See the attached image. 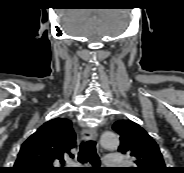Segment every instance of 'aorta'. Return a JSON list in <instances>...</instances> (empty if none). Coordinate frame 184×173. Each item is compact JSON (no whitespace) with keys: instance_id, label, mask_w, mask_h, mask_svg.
<instances>
[{"instance_id":"obj_1","label":"aorta","mask_w":184,"mask_h":173,"mask_svg":"<svg viewBox=\"0 0 184 173\" xmlns=\"http://www.w3.org/2000/svg\"><path fill=\"white\" fill-rule=\"evenodd\" d=\"M101 145L106 149H115L119 145V139L114 132H104L101 136Z\"/></svg>"}]
</instances>
